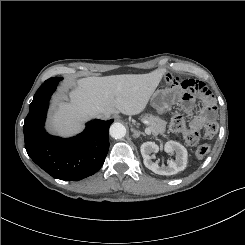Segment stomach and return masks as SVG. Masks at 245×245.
<instances>
[{
	"mask_svg": "<svg viewBox=\"0 0 245 245\" xmlns=\"http://www.w3.org/2000/svg\"><path fill=\"white\" fill-rule=\"evenodd\" d=\"M175 100L176 98L172 93L171 87L166 84H162L154 91L150 103L159 114H162L166 112L172 104H174Z\"/></svg>",
	"mask_w": 245,
	"mask_h": 245,
	"instance_id": "obj_1",
	"label": "stomach"
}]
</instances>
